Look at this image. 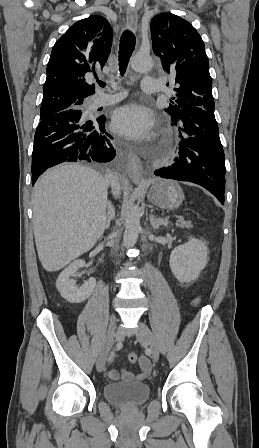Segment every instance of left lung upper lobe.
Wrapping results in <instances>:
<instances>
[{
	"mask_svg": "<svg viewBox=\"0 0 259 448\" xmlns=\"http://www.w3.org/2000/svg\"><path fill=\"white\" fill-rule=\"evenodd\" d=\"M152 46L163 71L175 73L177 92L166 109L172 118L191 107L214 111L212 79L204 42L186 20L171 13L154 16L150 23Z\"/></svg>",
	"mask_w": 259,
	"mask_h": 448,
	"instance_id": "5c2ea615",
	"label": "left lung upper lobe"
}]
</instances>
